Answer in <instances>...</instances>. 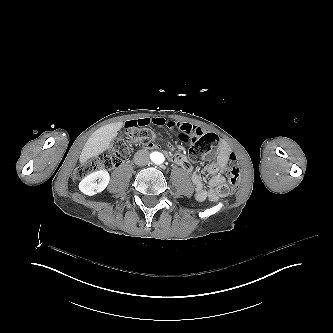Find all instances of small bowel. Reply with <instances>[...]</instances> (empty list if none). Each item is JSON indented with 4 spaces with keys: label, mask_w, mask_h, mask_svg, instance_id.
I'll use <instances>...</instances> for the list:
<instances>
[{
    "label": "small bowel",
    "mask_w": 333,
    "mask_h": 333,
    "mask_svg": "<svg viewBox=\"0 0 333 333\" xmlns=\"http://www.w3.org/2000/svg\"><path fill=\"white\" fill-rule=\"evenodd\" d=\"M125 123L133 129L136 128V126L154 125L158 127L167 126L169 128L179 127V129L187 130L193 134L202 133L199 129L192 127L190 124L167 120L164 117H142L135 120L128 119ZM151 147L161 149L163 144L161 142L156 143L155 141H152L150 144L146 143L144 145L146 150H149ZM231 155L227 143L220 141L216 148V160L206 167L207 173L210 175L208 187L204 186L202 177L199 173H194L192 175V182L195 188V199L197 201L203 202L209 200L210 202L216 203L228 194V191H224L227 185L223 174L226 171L228 164H230L231 167L234 166V162L231 160ZM170 160L172 163L181 166L187 172L191 170V164L183 153H171Z\"/></svg>",
    "instance_id": "c3829d8e"
}]
</instances>
